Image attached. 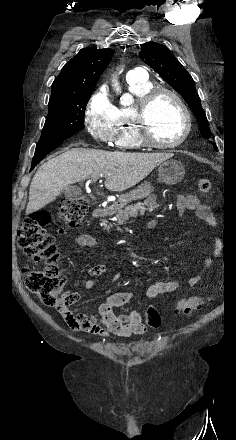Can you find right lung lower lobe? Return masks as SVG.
Returning a JSON list of instances; mask_svg holds the SVG:
<instances>
[{"instance_id":"1","label":"right lung lower lobe","mask_w":236,"mask_h":440,"mask_svg":"<svg viewBox=\"0 0 236 440\" xmlns=\"http://www.w3.org/2000/svg\"><path fill=\"white\" fill-rule=\"evenodd\" d=\"M67 139V138H64ZM64 139L46 141V142H38L35 150V155L32 160V166L30 171L34 169V167L51 151L56 149L59 145H61Z\"/></svg>"}]
</instances>
